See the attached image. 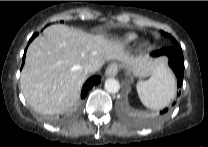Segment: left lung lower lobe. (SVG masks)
<instances>
[{
  "label": "left lung lower lobe",
  "instance_id": "1",
  "mask_svg": "<svg viewBox=\"0 0 208 147\" xmlns=\"http://www.w3.org/2000/svg\"><path fill=\"white\" fill-rule=\"evenodd\" d=\"M160 55H167L169 58V65L172 68L173 72L175 73L177 77V83L178 87L181 86L183 81V75H184V57L181 53V49L177 47H167L160 49L158 51H155L152 53V56H160ZM168 109L163 110V113H165Z\"/></svg>",
  "mask_w": 208,
  "mask_h": 147
}]
</instances>
